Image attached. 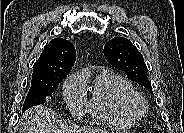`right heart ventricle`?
<instances>
[{
  "label": "right heart ventricle",
  "instance_id": "right-heart-ventricle-1",
  "mask_svg": "<svg viewBox=\"0 0 184 133\" xmlns=\"http://www.w3.org/2000/svg\"><path fill=\"white\" fill-rule=\"evenodd\" d=\"M84 78L88 74H81ZM134 91L132 85L122 76L110 71H99L90 87V98L87 109L91 116L98 122L127 127L135 119L127 115L121 107V98L124 94Z\"/></svg>",
  "mask_w": 184,
  "mask_h": 133
}]
</instances>
